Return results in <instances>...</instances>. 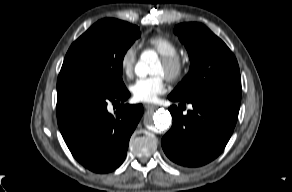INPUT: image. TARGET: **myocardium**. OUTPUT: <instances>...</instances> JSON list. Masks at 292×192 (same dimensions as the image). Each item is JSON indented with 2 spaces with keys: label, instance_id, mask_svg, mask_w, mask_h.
I'll return each mask as SVG.
<instances>
[{
  "label": "myocardium",
  "instance_id": "f54148a6",
  "mask_svg": "<svg viewBox=\"0 0 292 192\" xmlns=\"http://www.w3.org/2000/svg\"><path fill=\"white\" fill-rule=\"evenodd\" d=\"M161 62L164 66V75L170 81H177L185 74L187 64L186 60L177 55L162 57Z\"/></svg>",
  "mask_w": 292,
  "mask_h": 192
}]
</instances>
